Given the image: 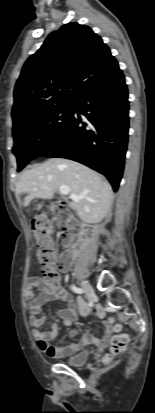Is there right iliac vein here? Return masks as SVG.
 <instances>
[{
  "instance_id": "63e3f726",
  "label": "right iliac vein",
  "mask_w": 155,
  "mask_h": 413,
  "mask_svg": "<svg viewBox=\"0 0 155 413\" xmlns=\"http://www.w3.org/2000/svg\"><path fill=\"white\" fill-rule=\"evenodd\" d=\"M81 285H82V287H83V289H84V291H85V293H86L87 298H88L89 300H91V299L93 298V296H94V289H93V287H92L91 284H90L89 282H87V281H82V282H81Z\"/></svg>"
}]
</instances>
